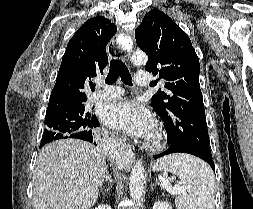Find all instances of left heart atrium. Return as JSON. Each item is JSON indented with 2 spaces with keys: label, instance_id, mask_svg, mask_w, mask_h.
<instances>
[{
  "label": "left heart atrium",
  "instance_id": "left-heart-atrium-1",
  "mask_svg": "<svg viewBox=\"0 0 253 209\" xmlns=\"http://www.w3.org/2000/svg\"><path fill=\"white\" fill-rule=\"evenodd\" d=\"M101 117L108 126L132 136L144 137L153 130L151 115L132 100L106 105Z\"/></svg>",
  "mask_w": 253,
  "mask_h": 209
}]
</instances>
